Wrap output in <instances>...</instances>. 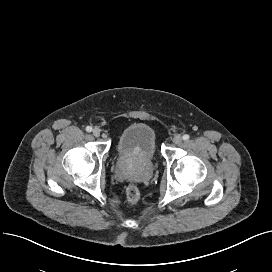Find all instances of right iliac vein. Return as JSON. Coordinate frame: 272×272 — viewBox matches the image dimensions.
I'll return each mask as SVG.
<instances>
[{
  "instance_id": "obj_1",
  "label": "right iliac vein",
  "mask_w": 272,
  "mask_h": 272,
  "mask_svg": "<svg viewBox=\"0 0 272 272\" xmlns=\"http://www.w3.org/2000/svg\"><path fill=\"white\" fill-rule=\"evenodd\" d=\"M92 133H93V135H94L95 137H99L100 134H101V132H100V130H99L98 128H95V129L92 131Z\"/></svg>"
}]
</instances>
